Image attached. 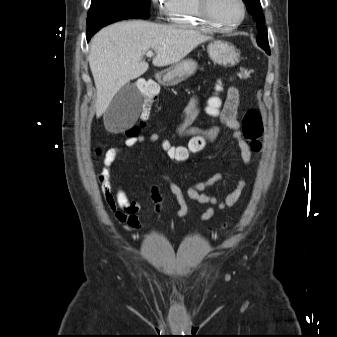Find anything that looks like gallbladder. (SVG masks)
Returning <instances> with one entry per match:
<instances>
[{"label":"gallbladder","mask_w":337,"mask_h":337,"mask_svg":"<svg viewBox=\"0 0 337 337\" xmlns=\"http://www.w3.org/2000/svg\"><path fill=\"white\" fill-rule=\"evenodd\" d=\"M142 99L134 85H124L115 95L104 113L105 127L111 132H121L137 120Z\"/></svg>","instance_id":"1"}]
</instances>
